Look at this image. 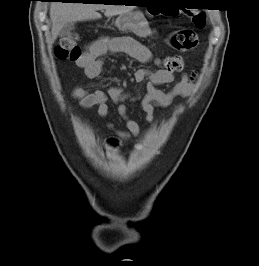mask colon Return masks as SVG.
<instances>
[{
  "mask_svg": "<svg viewBox=\"0 0 259 266\" xmlns=\"http://www.w3.org/2000/svg\"><path fill=\"white\" fill-rule=\"evenodd\" d=\"M165 15H169L163 13ZM197 29L205 27L206 19L203 14L188 12L187 14ZM76 34H68L59 40L55 48L56 57L61 60L76 61L81 57V50L77 44ZM171 46L181 52L195 49L199 44V38L192 29H181L174 32L170 37ZM159 65L166 71L177 72L183 69L184 61L180 55H171L162 58Z\"/></svg>",
  "mask_w": 259,
  "mask_h": 266,
  "instance_id": "1",
  "label": "colon"
}]
</instances>
